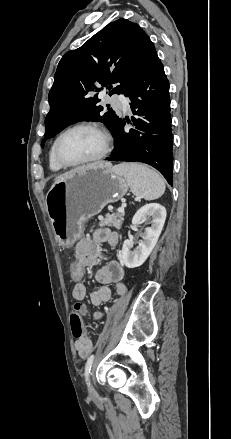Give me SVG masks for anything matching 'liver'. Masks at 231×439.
<instances>
[{"label": "liver", "mask_w": 231, "mask_h": 439, "mask_svg": "<svg viewBox=\"0 0 231 439\" xmlns=\"http://www.w3.org/2000/svg\"><path fill=\"white\" fill-rule=\"evenodd\" d=\"M98 163H99V162H98ZM98 163H92V164H88V165H85V166H82V167L75 168V169H73V170H71V171H69V172H66V173H64V174H62V175L57 176V177L55 178V181H57V180H59V179H62L63 177H66V176H68V175H70V174H72V173H75V172H77V171H80V170H84V169H86V168L93 167L94 165H96V164H98Z\"/></svg>", "instance_id": "liver-1"}]
</instances>
